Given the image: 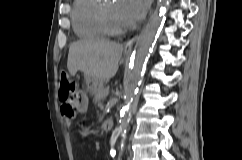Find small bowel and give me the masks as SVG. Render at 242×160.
<instances>
[{
	"mask_svg": "<svg viewBox=\"0 0 242 160\" xmlns=\"http://www.w3.org/2000/svg\"><path fill=\"white\" fill-rule=\"evenodd\" d=\"M63 107H65V105L63 106ZM62 107V108H63ZM86 109H87V102L86 101H84L81 105H79V107H78V111H80V112H84V111H86ZM65 117V116H64ZM66 119H70V118H67V117H65Z\"/></svg>",
	"mask_w": 242,
	"mask_h": 160,
	"instance_id": "small-bowel-1",
	"label": "small bowel"
}]
</instances>
